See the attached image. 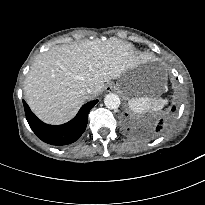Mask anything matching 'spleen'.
<instances>
[{
  "instance_id": "1",
  "label": "spleen",
  "mask_w": 205,
  "mask_h": 205,
  "mask_svg": "<svg viewBox=\"0 0 205 205\" xmlns=\"http://www.w3.org/2000/svg\"><path fill=\"white\" fill-rule=\"evenodd\" d=\"M167 102V99L133 98L129 101V107L132 111L141 113L149 109H161Z\"/></svg>"
}]
</instances>
